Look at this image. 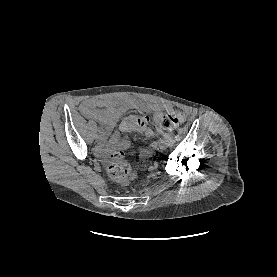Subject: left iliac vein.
I'll return each instance as SVG.
<instances>
[{"mask_svg": "<svg viewBox=\"0 0 277 277\" xmlns=\"http://www.w3.org/2000/svg\"><path fill=\"white\" fill-rule=\"evenodd\" d=\"M167 147V144L165 142H160L159 148L160 149H165Z\"/></svg>", "mask_w": 277, "mask_h": 277, "instance_id": "left-iliac-vein-1", "label": "left iliac vein"}]
</instances>
